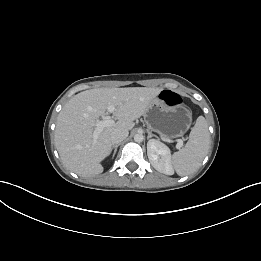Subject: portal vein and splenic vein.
Listing matches in <instances>:
<instances>
[{
  "label": "portal vein and splenic vein",
  "instance_id": "obj_1",
  "mask_svg": "<svg viewBox=\"0 0 261 261\" xmlns=\"http://www.w3.org/2000/svg\"><path fill=\"white\" fill-rule=\"evenodd\" d=\"M107 110L109 113H113L115 111V106L114 105H108ZM114 124V120L111 118H105L103 120H97L95 123H93V126L95 127V130L93 132V138H94V143L97 140L98 134L108 126H111ZM183 145V142L181 140H178L177 142V148H181Z\"/></svg>",
  "mask_w": 261,
  "mask_h": 261
}]
</instances>
